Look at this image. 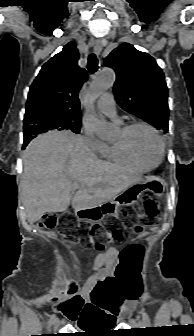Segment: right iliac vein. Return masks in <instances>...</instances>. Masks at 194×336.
<instances>
[{
  "label": "right iliac vein",
  "instance_id": "obj_1",
  "mask_svg": "<svg viewBox=\"0 0 194 336\" xmlns=\"http://www.w3.org/2000/svg\"><path fill=\"white\" fill-rule=\"evenodd\" d=\"M53 326L55 329H58L60 327V320L58 318L54 319Z\"/></svg>",
  "mask_w": 194,
  "mask_h": 336
}]
</instances>
